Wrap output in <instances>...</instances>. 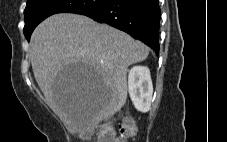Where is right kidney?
<instances>
[{"mask_svg": "<svg viewBox=\"0 0 227 142\" xmlns=\"http://www.w3.org/2000/svg\"><path fill=\"white\" fill-rule=\"evenodd\" d=\"M128 88L130 98L138 111L147 112L150 109L153 85L150 70L145 66H134L129 71Z\"/></svg>", "mask_w": 227, "mask_h": 142, "instance_id": "1", "label": "right kidney"}]
</instances>
